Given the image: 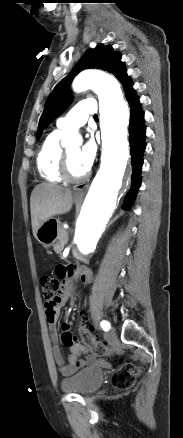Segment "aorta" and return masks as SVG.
<instances>
[{"instance_id": "762f6f07", "label": "aorta", "mask_w": 183, "mask_h": 438, "mask_svg": "<svg viewBox=\"0 0 183 438\" xmlns=\"http://www.w3.org/2000/svg\"><path fill=\"white\" fill-rule=\"evenodd\" d=\"M75 92L93 89L99 97L102 139L101 165L76 220L75 243L82 255L91 254L115 208L129 157V109L118 81L104 73L84 71L73 81ZM71 136L63 139L68 143Z\"/></svg>"}]
</instances>
